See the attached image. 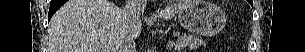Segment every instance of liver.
I'll return each mask as SVG.
<instances>
[{"label":"liver","instance_id":"6515ba94","mask_svg":"<svg viewBox=\"0 0 305 52\" xmlns=\"http://www.w3.org/2000/svg\"><path fill=\"white\" fill-rule=\"evenodd\" d=\"M191 1L166 8L169 20ZM125 30L122 10L109 0H69L52 17L48 27V52H117ZM141 33V21L134 28Z\"/></svg>","mask_w":305,"mask_h":52}]
</instances>
